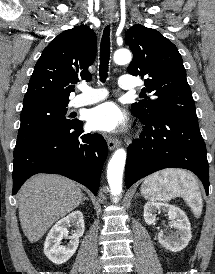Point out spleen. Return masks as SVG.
<instances>
[{
    "mask_svg": "<svg viewBox=\"0 0 215 274\" xmlns=\"http://www.w3.org/2000/svg\"><path fill=\"white\" fill-rule=\"evenodd\" d=\"M141 188L151 201L181 196L194 212L202 211V196L196 178L187 171L167 169L148 176Z\"/></svg>",
    "mask_w": 215,
    "mask_h": 274,
    "instance_id": "1",
    "label": "spleen"
}]
</instances>
